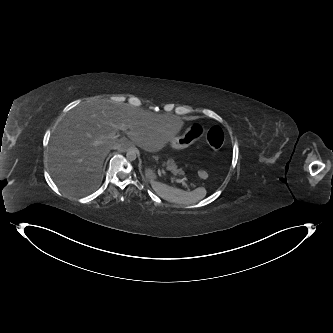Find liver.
<instances>
[{
    "mask_svg": "<svg viewBox=\"0 0 333 333\" xmlns=\"http://www.w3.org/2000/svg\"><path fill=\"white\" fill-rule=\"evenodd\" d=\"M125 125L126 137L109 138ZM182 123L128 103L90 99L69 111L50 139L48 164L58 186L71 194L94 191L102 181V167L114 144L130 143L155 153L172 142Z\"/></svg>",
    "mask_w": 333,
    "mask_h": 333,
    "instance_id": "1",
    "label": "liver"
}]
</instances>
